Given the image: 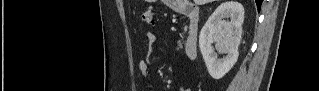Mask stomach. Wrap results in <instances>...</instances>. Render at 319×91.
Masks as SVG:
<instances>
[{
  "label": "stomach",
  "mask_w": 319,
  "mask_h": 91,
  "mask_svg": "<svg viewBox=\"0 0 319 91\" xmlns=\"http://www.w3.org/2000/svg\"><path fill=\"white\" fill-rule=\"evenodd\" d=\"M165 2H167V3H169V4H174V5H175V3H171V0H166Z\"/></svg>",
  "instance_id": "0dacf381"
}]
</instances>
